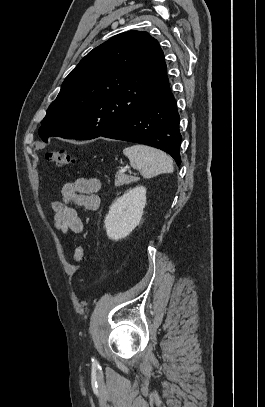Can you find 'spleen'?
Returning <instances> with one entry per match:
<instances>
[{"instance_id":"spleen-1","label":"spleen","mask_w":265,"mask_h":407,"mask_svg":"<svg viewBox=\"0 0 265 407\" xmlns=\"http://www.w3.org/2000/svg\"><path fill=\"white\" fill-rule=\"evenodd\" d=\"M131 167L141 172L144 178H151L162 173H172L173 161L163 151L146 146L133 145L123 150Z\"/></svg>"}]
</instances>
